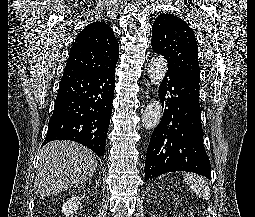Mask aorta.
<instances>
[{
    "instance_id": "762f6f07",
    "label": "aorta",
    "mask_w": 255,
    "mask_h": 217,
    "mask_svg": "<svg viewBox=\"0 0 255 217\" xmlns=\"http://www.w3.org/2000/svg\"><path fill=\"white\" fill-rule=\"evenodd\" d=\"M167 61L159 56L151 59L148 65L149 78L153 85L159 86L167 72ZM162 118L161 102L153 99L146 107L142 115V125L145 129L155 128Z\"/></svg>"
}]
</instances>
